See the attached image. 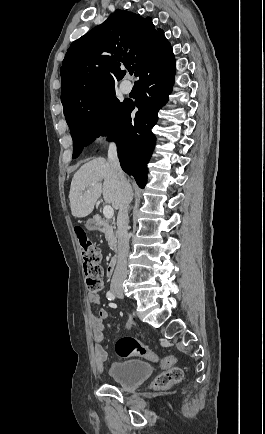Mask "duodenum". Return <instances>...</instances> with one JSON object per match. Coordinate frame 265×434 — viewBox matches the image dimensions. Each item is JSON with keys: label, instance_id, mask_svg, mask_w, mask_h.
<instances>
[{"label": "duodenum", "instance_id": "410a0bca", "mask_svg": "<svg viewBox=\"0 0 265 434\" xmlns=\"http://www.w3.org/2000/svg\"><path fill=\"white\" fill-rule=\"evenodd\" d=\"M97 230H99L101 232L105 231L106 233H109V234L112 233V227L109 226V225H107V224L97 223ZM117 263H118V257L116 255H114L111 258L110 262L106 266V272H107L108 275H113L114 274V271L116 269Z\"/></svg>", "mask_w": 265, "mask_h": 434}]
</instances>
